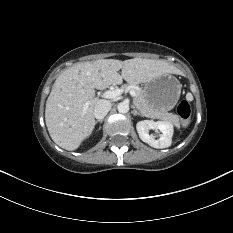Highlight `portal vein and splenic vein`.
<instances>
[{
	"instance_id": "18ae733b",
	"label": "portal vein and splenic vein",
	"mask_w": 233,
	"mask_h": 233,
	"mask_svg": "<svg viewBox=\"0 0 233 233\" xmlns=\"http://www.w3.org/2000/svg\"><path fill=\"white\" fill-rule=\"evenodd\" d=\"M122 94V90L121 89H114V90H108L106 92L103 93V97L104 98H107V99H113V98H116L118 96H120ZM130 95L135 97L136 96V92L134 90H131L130 91ZM87 109V105L86 107L84 108V112L85 110Z\"/></svg>"
}]
</instances>
